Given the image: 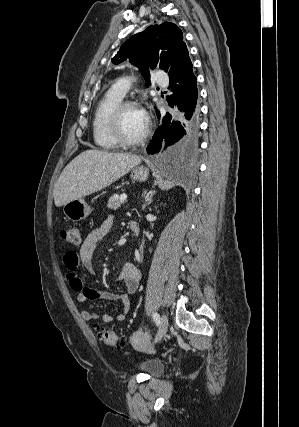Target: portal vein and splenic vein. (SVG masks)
<instances>
[{
    "instance_id": "obj_1",
    "label": "portal vein and splenic vein",
    "mask_w": 299,
    "mask_h": 427,
    "mask_svg": "<svg viewBox=\"0 0 299 427\" xmlns=\"http://www.w3.org/2000/svg\"><path fill=\"white\" fill-rule=\"evenodd\" d=\"M120 199H121L122 201H125V200L127 199V195H126V194L121 195V196H120Z\"/></svg>"
}]
</instances>
